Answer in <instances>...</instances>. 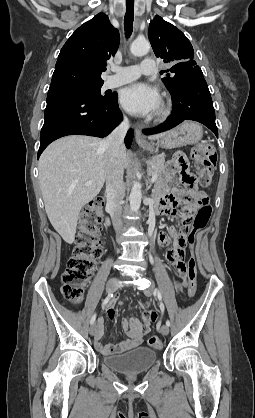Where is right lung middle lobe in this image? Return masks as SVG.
Here are the masks:
<instances>
[{"label":"right lung middle lobe","mask_w":255,"mask_h":418,"mask_svg":"<svg viewBox=\"0 0 255 418\" xmlns=\"http://www.w3.org/2000/svg\"><path fill=\"white\" fill-rule=\"evenodd\" d=\"M102 85L103 83H72V84L50 87L48 92H54V91L87 92L93 95L100 96L102 98H106L107 96H102L100 93V89Z\"/></svg>","instance_id":"dd1d6c3e"}]
</instances>
